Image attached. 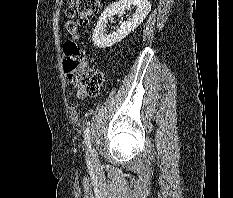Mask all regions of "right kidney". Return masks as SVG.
<instances>
[{
  "instance_id": "obj_1",
  "label": "right kidney",
  "mask_w": 233,
  "mask_h": 198,
  "mask_svg": "<svg viewBox=\"0 0 233 198\" xmlns=\"http://www.w3.org/2000/svg\"><path fill=\"white\" fill-rule=\"evenodd\" d=\"M131 6L136 8V12L132 18L124 22L120 21V25L116 31L109 35H104L102 30L108 19L115 14L124 13V10ZM150 9L151 4L148 0H119L118 2L112 3L103 11L97 22V26L92 35L94 45L98 48H107L120 42L146 18Z\"/></svg>"
}]
</instances>
